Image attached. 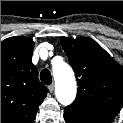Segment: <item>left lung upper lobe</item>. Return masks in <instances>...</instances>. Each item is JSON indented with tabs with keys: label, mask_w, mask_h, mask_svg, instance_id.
<instances>
[{
	"label": "left lung upper lobe",
	"mask_w": 123,
	"mask_h": 123,
	"mask_svg": "<svg viewBox=\"0 0 123 123\" xmlns=\"http://www.w3.org/2000/svg\"><path fill=\"white\" fill-rule=\"evenodd\" d=\"M77 77V98L70 107L113 120L123 102V67L94 40L62 37Z\"/></svg>",
	"instance_id": "left-lung-upper-lobe-1"
}]
</instances>
